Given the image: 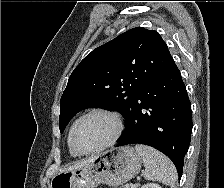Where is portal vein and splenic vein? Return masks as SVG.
Here are the masks:
<instances>
[{"label":"portal vein and splenic vein","instance_id":"18ae733b","mask_svg":"<svg viewBox=\"0 0 224 188\" xmlns=\"http://www.w3.org/2000/svg\"><path fill=\"white\" fill-rule=\"evenodd\" d=\"M126 188H129V185H126ZM131 188H136V184L132 185Z\"/></svg>","mask_w":224,"mask_h":188}]
</instances>
